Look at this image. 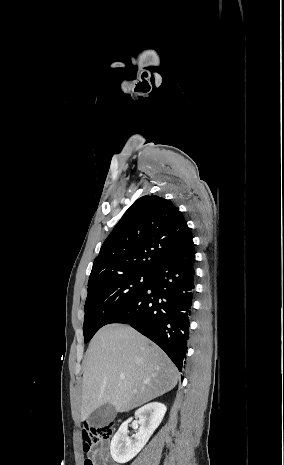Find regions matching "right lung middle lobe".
<instances>
[{
  "mask_svg": "<svg viewBox=\"0 0 284 465\" xmlns=\"http://www.w3.org/2000/svg\"><path fill=\"white\" fill-rule=\"evenodd\" d=\"M150 277V274H128L88 288L83 327L85 343L133 301L145 288Z\"/></svg>",
  "mask_w": 284,
  "mask_h": 465,
  "instance_id": "right-lung-middle-lobe-1",
  "label": "right lung middle lobe"
}]
</instances>
